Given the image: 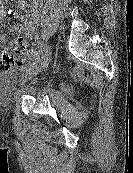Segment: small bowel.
Returning <instances> with one entry per match:
<instances>
[{
	"label": "small bowel",
	"instance_id": "c3829d8e",
	"mask_svg": "<svg viewBox=\"0 0 133 173\" xmlns=\"http://www.w3.org/2000/svg\"><path fill=\"white\" fill-rule=\"evenodd\" d=\"M41 0H23L20 3L21 9H28L27 18L20 16L22 24L11 29V34L18 35L23 43L26 38L31 37L37 30L40 19ZM4 18L3 11L0 10V23ZM3 42V38H0Z\"/></svg>",
	"mask_w": 133,
	"mask_h": 173
}]
</instances>
